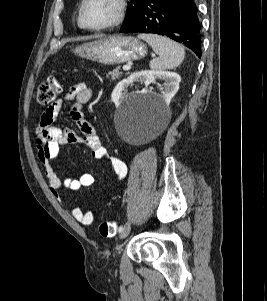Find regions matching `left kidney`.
Returning <instances> with one entry per match:
<instances>
[{"label":"left kidney","mask_w":267,"mask_h":301,"mask_svg":"<svg viewBox=\"0 0 267 301\" xmlns=\"http://www.w3.org/2000/svg\"><path fill=\"white\" fill-rule=\"evenodd\" d=\"M157 78L165 80L164 90L161 92V99L166 105H169L171 99L177 93L179 89V83L181 81V77L179 74L169 71L144 70L133 73L127 79L120 81L116 85L112 92L111 99L114 102V104L118 107L121 104L122 99L124 97L123 91L129 84L135 81L144 82L145 86L147 87Z\"/></svg>","instance_id":"5707ae66"}]
</instances>
